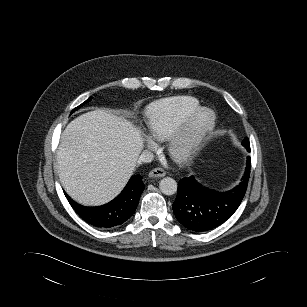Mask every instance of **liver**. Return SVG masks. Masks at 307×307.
I'll return each mask as SVG.
<instances>
[{
    "mask_svg": "<svg viewBox=\"0 0 307 307\" xmlns=\"http://www.w3.org/2000/svg\"><path fill=\"white\" fill-rule=\"evenodd\" d=\"M143 148L138 128L95 110L71 121L61 135L57 169L66 193L78 203L109 202L124 188Z\"/></svg>",
    "mask_w": 307,
    "mask_h": 307,
    "instance_id": "obj_1",
    "label": "liver"
}]
</instances>
